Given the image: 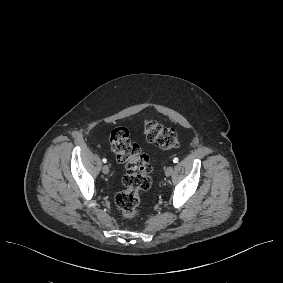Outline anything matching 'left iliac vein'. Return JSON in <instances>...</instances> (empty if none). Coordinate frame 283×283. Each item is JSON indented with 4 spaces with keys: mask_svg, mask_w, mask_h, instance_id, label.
Returning a JSON list of instances; mask_svg holds the SVG:
<instances>
[{
    "mask_svg": "<svg viewBox=\"0 0 283 283\" xmlns=\"http://www.w3.org/2000/svg\"><path fill=\"white\" fill-rule=\"evenodd\" d=\"M172 172H173V167H172V166H169V167H167L166 170H165V175H166L167 177H169V176H171Z\"/></svg>",
    "mask_w": 283,
    "mask_h": 283,
    "instance_id": "left-iliac-vein-1",
    "label": "left iliac vein"
}]
</instances>
